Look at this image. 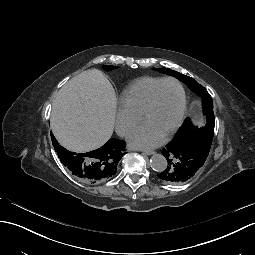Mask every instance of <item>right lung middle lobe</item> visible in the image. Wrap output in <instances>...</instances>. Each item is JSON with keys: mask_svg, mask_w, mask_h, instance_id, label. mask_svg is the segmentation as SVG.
Instances as JSON below:
<instances>
[{"mask_svg": "<svg viewBox=\"0 0 255 255\" xmlns=\"http://www.w3.org/2000/svg\"><path fill=\"white\" fill-rule=\"evenodd\" d=\"M106 71L112 70L114 68H117L116 66H110V65H106L103 67Z\"/></svg>", "mask_w": 255, "mask_h": 255, "instance_id": "1", "label": "right lung middle lobe"}]
</instances>
